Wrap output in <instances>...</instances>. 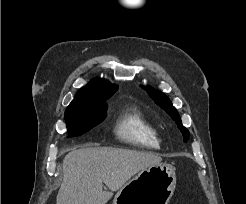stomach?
I'll use <instances>...</instances> for the list:
<instances>
[{"label":"stomach","instance_id":"0dacf381","mask_svg":"<svg viewBox=\"0 0 246 204\" xmlns=\"http://www.w3.org/2000/svg\"><path fill=\"white\" fill-rule=\"evenodd\" d=\"M176 187L174 169L158 164L140 171L115 195L113 204H168Z\"/></svg>","mask_w":246,"mask_h":204}]
</instances>
